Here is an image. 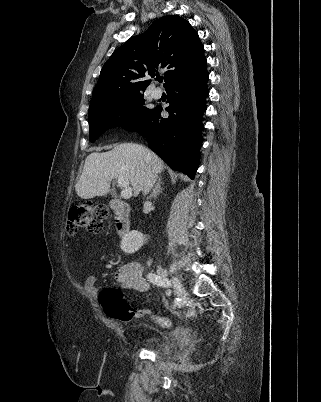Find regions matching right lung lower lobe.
Listing matches in <instances>:
<instances>
[{
	"instance_id": "obj_1",
	"label": "right lung lower lobe",
	"mask_w": 321,
	"mask_h": 402,
	"mask_svg": "<svg viewBox=\"0 0 321 402\" xmlns=\"http://www.w3.org/2000/svg\"><path fill=\"white\" fill-rule=\"evenodd\" d=\"M207 81L206 65L179 76L165 87L170 103L168 118L161 117L162 107L157 106L137 124L125 128L145 137L152 151L191 179L199 166Z\"/></svg>"
}]
</instances>
